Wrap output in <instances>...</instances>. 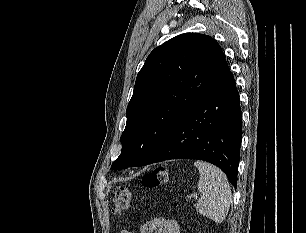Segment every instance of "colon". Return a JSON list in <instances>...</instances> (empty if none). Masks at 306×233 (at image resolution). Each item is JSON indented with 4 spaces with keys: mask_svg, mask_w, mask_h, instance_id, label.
<instances>
[{
    "mask_svg": "<svg viewBox=\"0 0 306 233\" xmlns=\"http://www.w3.org/2000/svg\"><path fill=\"white\" fill-rule=\"evenodd\" d=\"M167 178L166 168L160 166L146 173L142 178V183L147 188H156L166 183ZM131 197V191L127 187H118L113 196V213L120 215L126 211L130 206Z\"/></svg>",
    "mask_w": 306,
    "mask_h": 233,
    "instance_id": "obj_1",
    "label": "colon"
}]
</instances>
